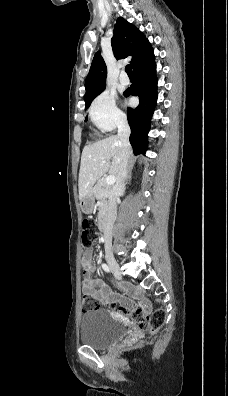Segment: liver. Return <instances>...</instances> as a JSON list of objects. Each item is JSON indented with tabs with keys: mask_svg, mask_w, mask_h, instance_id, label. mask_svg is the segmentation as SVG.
<instances>
[{
	"mask_svg": "<svg viewBox=\"0 0 228 396\" xmlns=\"http://www.w3.org/2000/svg\"><path fill=\"white\" fill-rule=\"evenodd\" d=\"M122 146L118 136H109L84 147L79 171V199L93 191V185L105 173L118 178ZM106 162L103 163L102 161ZM111 160V162H110Z\"/></svg>",
	"mask_w": 228,
	"mask_h": 396,
	"instance_id": "1",
	"label": "liver"
}]
</instances>
